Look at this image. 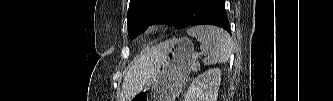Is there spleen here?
I'll list each match as a JSON object with an SVG mask.
<instances>
[{
    "label": "spleen",
    "mask_w": 333,
    "mask_h": 101,
    "mask_svg": "<svg viewBox=\"0 0 333 101\" xmlns=\"http://www.w3.org/2000/svg\"><path fill=\"white\" fill-rule=\"evenodd\" d=\"M187 33L200 42L205 65L225 63L229 59L233 44L230 35L223 29L201 25L188 29Z\"/></svg>",
    "instance_id": "obj_1"
}]
</instances>
